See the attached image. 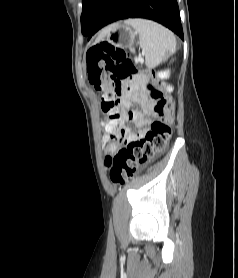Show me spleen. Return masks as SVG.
<instances>
[{
  "label": "spleen",
  "instance_id": "obj_1",
  "mask_svg": "<svg viewBox=\"0 0 238 278\" xmlns=\"http://www.w3.org/2000/svg\"><path fill=\"white\" fill-rule=\"evenodd\" d=\"M125 23L139 33V45L148 68L157 66L168 54L175 53V36L165 27L145 19H129Z\"/></svg>",
  "mask_w": 238,
  "mask_h": 278
}]
</instances>
